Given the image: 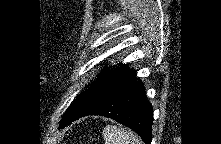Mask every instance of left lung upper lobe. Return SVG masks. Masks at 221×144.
I'll return each mask as SVG.
<instances>
[{
    "label": "left lung upper lobe",
    "mask_w": 221,
    "mask_h": 144,
    "mask_svg": "<svg viewBox=\"0 0 221 144\" xmlns=\"http://www.w3.org/2000/svg\"><path fill=\"white\" fill-rule=\"evenodd\" d=\"M128 69V67H121L109 71L108 67L98 75L97 80L82 93L68 108L60 122V128L70 124L81 114L93 107L109 90L114 82Z\"/></svg>",
    "instance_id": "1"
}]
</instances>
